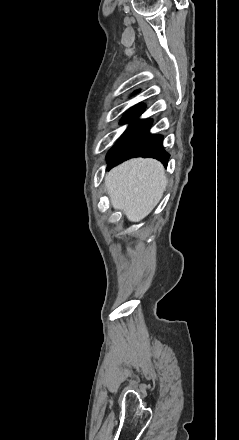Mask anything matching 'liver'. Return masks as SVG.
Masks as SVG:
<instances>
[{"label":"liver","mask_w":239,"mask_h":440,"mask_svg":"<svg viewBox=\"0 0 239 440\" xmlns=\"http://www.w3.org/2000/svg\"><path fill=\"white\" fill-rule=\"evenodd\" d=\"M164 168L151 158H134L105 176V190L114 210L129 222H141L160 202L167 186Z\"/></svg>","instance_id":"liver-1"}]
</instances>
